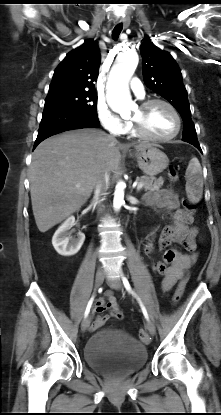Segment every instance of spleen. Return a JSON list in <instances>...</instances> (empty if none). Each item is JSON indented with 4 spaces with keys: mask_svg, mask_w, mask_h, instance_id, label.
Here are the masks:
<instances>
[{
    "mask_svg": "<svg viewBox=\"0 0 221 415\" xmlns=\"http://www.w3.org/2000/svg\"><path fill=\"white\" fill-rule=\"evenodd\" d=\"M186 193L190 202L198 203L203 194V177L201 165L196 157H193L186 169Z\"/></svg>",
    "mask_w": 221,
    "mask_h": 415,
    "instance_id": "1",
    "label": "spleen"
}]
</instances>
